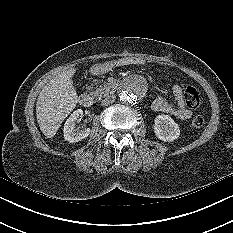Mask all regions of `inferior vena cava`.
<instances>
[{"mask_svg": "<svg viewBox=\"0 0 233 233\" xmlns=\"http://www.w3.org/2000/svg\"><path fill=\"white\" fill-rule=\"evenodd\" d=\"M115 98H116L115 95H109L101 101V105L108 106L109 104H111L115 101Z\"/></svg>", "mask_w": 233, "mask_h": 233, "instance_id": "inferior-vena-cava-1", "label": "inferior vena cava"}]
</instances>
